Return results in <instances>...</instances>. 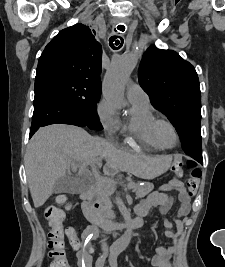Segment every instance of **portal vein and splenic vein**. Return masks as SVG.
Listing matches in <instances>:
<instances>
[{"instance_id":"18ae733b","label":"portal vein and splenic vein","mask_w":225,"mask_h":267,"mask_svg":"<svg viewBox=\"0 0 225 267\" xmlns=\"http://www.w3.org/2000/svg\"><path fill=\"white\" fill-rule=\"evenodd\" d=\"M86 166H87V163H85V162L81 163L80 170L84 171ZM93 174H94V176H97V172L96 171H93Z\"/></svg>"}]
</instances>
